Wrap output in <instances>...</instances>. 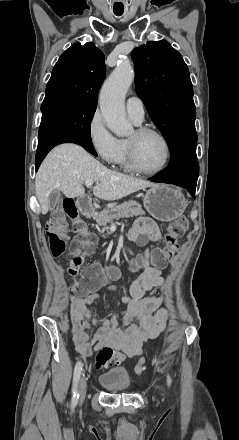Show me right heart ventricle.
I'll list each match as a JSON object with an SVG mask.
<instances>
[{
	"label": "right heart ventricle",
	"instance_id": "e07e8e85",
	"mask_svg": "<svg viewBox=\"0 0 239 440\" xmlns=\"http://www.w3.org/2000/svg\"><path fill=\"white\" fill-rule=\"evenodd\" d=\"M122 145H123V151H122V155L120 157V160L118 162V165L126 170V171H131L132 167L130 165L129 162V157H128V151H127V143L126 141H122Z\"/></svg>",
	"mask_w": 239,
	"mask_h": 440
}]
</instances>
